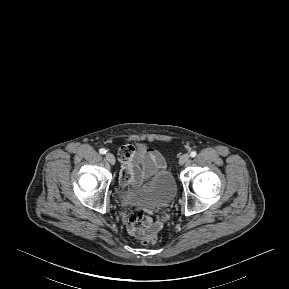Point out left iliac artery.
Here are the masks:
<instances>
[{
  "mask_svg": "<svg viewBox=\"0 0 289 289\" xmlns=\"http://www.w3.org/2000/svg\"><path fill=\"white\" fill-rule=\"evenodd\" d=\"M197 155V153H196V151H192L191 153H190V156L193 158V157H195Z\"/></svg>",
  "mask_w": 289,
  "mask_h": 289,
  "instance_id": "left-iliac-artery-1",
  "label": "left iliac artery"
}]
</instances>
